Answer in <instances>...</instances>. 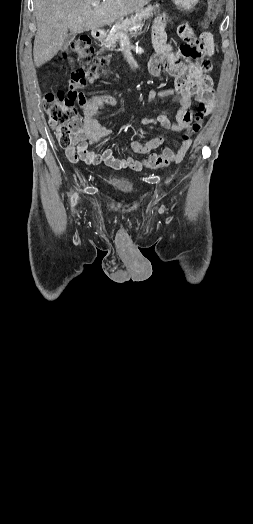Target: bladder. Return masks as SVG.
Instances as JSON below:
<instances>
[{"instance_id":"31cf9c89","label":"bladder","mask_w":253,"mask_h":524,"mask_svg":"<svg viewBox=\"0 0 253 524\" xmlns=\"http://www.w3.org/2000/svg\"><path fill=\"white\" fill-rule=\"evenodd\" d=\"M108 183L122 192H131L134 189L133 183L121 176L110 177Z\"/></svg>"}]
</instances>
